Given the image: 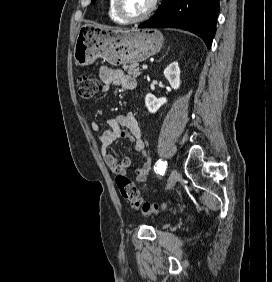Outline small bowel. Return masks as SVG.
<instances>
[{
  "label": "small bowel",
  "instance_id": "1",
  "mask_svg": "<svg viewBox=\"0 0 272 282\" xmlns=\"http://www.w3.org/2000/svg\"><path fill=\"white\" fill-rule=\"evenodd\" d=\"M99 76L103 81L101 93L105 94L109 91L110 85L120 86L124 90H134L137 86L136 80L127 76L120 69H113L107 66H102L99 70ZM108 128L101 134L97 135L98 140L101 143V154L106 165L109 169L116 173H122L126 175L127 169L131 165L129 157H124L120 161L118 158L109 152V147L115 141L126 138L132 144L134 149L144 158L148 157V153L145 148V142L140 130V127L132 113L119 115L115 118L107 120ZM91 128L95 133L99 132V124L94 121L91 124ZM150 171V163L145 162L136 169V181L145 182L147 180L148 173Z\"/></svg>",
  "mask_w": 272,
  "mask_h": 282
}]
</instances>
